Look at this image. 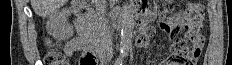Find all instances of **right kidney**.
<instances>
[{
	"label": "right kidney",
	"mask_w": 232,
	"mask_h": 65,
	"mask_svg": "<svg viewBox=\"0 0 232 65\" xmlns=\"http://www.w3.org/2000/svg\"><path fill=\"white\" fill-rule=\"evenodd\" d=\"M70 15L71 11L66 8L51 14L46 23L48 33L58 40H65L71 37L74 31L67 21Z\"/></svg>",
	"instance_id": "1"
}]
</instances>
